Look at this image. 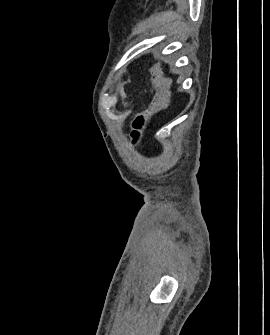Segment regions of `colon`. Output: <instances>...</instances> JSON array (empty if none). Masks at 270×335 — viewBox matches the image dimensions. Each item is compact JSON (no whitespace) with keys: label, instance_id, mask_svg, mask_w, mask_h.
I'll return each mask as SVG.
<instances>
[{"label":"colon","instance_id":"1","mask_svg":"<svg viewBox=\"0 0 270 335\" xmlns=\"http://www.w3.org/2000/svg\"><path fill=\"white\" fill-rule=\"evenodd\" d=\"M152 64L155 67L154 76L157 73H160V69H163L164 64L160 62L159 57H152L151 59ZM172 80L171 78H164L158 79V82H154L153 87L154 89H162L161 94L163 97H159L158 102L155 103L156 109H172L173 103L167 102V98H172V93L170 91L172 87ZM152 115V110L150 108H144L140 110V112L136 115L134 122H133V131H132V138L134 143H138L141 138V129L144 127L148 119ZM159 115H164V110H159Z\"/></svg>","mask_w":270,"mask_h":335}]
</instances>
